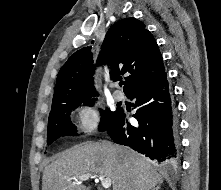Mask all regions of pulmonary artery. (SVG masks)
<instances>
[{
  "mask_svg": "<svg viewBox=\"0 0 221 190\" xmlns=\"http://www.w3.org/2000/svg\"><path fill=\"white\" fill-rule=\"evenodd\" d=\"M113 97H114L115 100L121 101V100L124 99V94H123V92L120 91V90H115V91L113 92Z\"/></svg>",
  "mask_w": 221,
  "mask_h": 190,
  "instance_id": "obj_1",
  "label": "pulmonary artery"
}]
</instances>
